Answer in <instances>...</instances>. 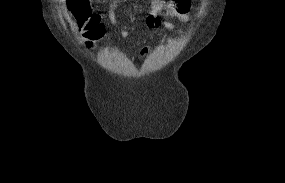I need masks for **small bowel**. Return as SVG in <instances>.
<instances>
[{
  "label": "small bowel",
  "mask_w": 285,
  "mask_h": 183,
  "mask_svg": "<svg viewBox=\"0 0 285 183\" xmlns=\"http://www.w3.org/2000/svg\"><path fill=\"white\" fill-rule=\"evenodd\" d=\"M189 0L187 2H182L181 5H184L186 7H189L190 10V4ZM116 8L117 4H114L109 13V21L112 25L117 24L116 20ZM189 11L184 12L177 9V3L174 1V4H165L160 0H152L151 2V8H150V14L147 17V25L150 28H158L160 26L166 28L167 30H175L179 34L183 33V30L181 27L177 26L173 22H171L169 19H177L180 22L187 23L190 21ZM131 32L129 29H123L121 31V37L123 39H127L130 36ZM147 48H143L142 53H146Z\"/></svg>",
  "instance_id": "1"
}]
</instances>
